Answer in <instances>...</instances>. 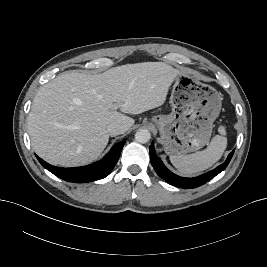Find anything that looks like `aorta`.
Listing matches in <instances>:
<instances>
[{"label":"aorta","mask_w":267,"mask_h":267,"mask_svg":"<svg viewBox=\"0 0 267 267\" xmlns=\"http://www.w3.org/2000/svg\"><path fill=\"white\" fill-rule=\"evenodd\" d=\"M151 138L150 131L147 129H139L135 133V140L139 143H147Z\"/></svg>","instance_id":"1"}]
</instances>
